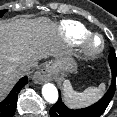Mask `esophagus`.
<instances>
[{"instance_id":"1","label":"esophagus","mask_w":117,"mask_h":117,"mask_svg":"<svg viewBox=\"0 0 117 117\" xmlns=\"http://www.w3.org/2000/svg\"><path fill=\"white\" fill-rule=\"evenodd\" d=\"M52 72V68L49 65H43L35 72L33 79L37 83L47 81L50 79Z\"/></svg>"}]
</instances>
